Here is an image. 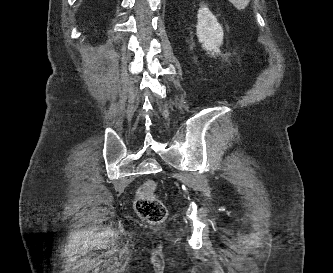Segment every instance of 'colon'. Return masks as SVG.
<instances>
[{"label": "colon", "mask_w": 333, "mask_h": 273, "mask_svg": "<svg viewBox=\"0 0 333 273\" xmlns=\"http://www.w3.org/2000/svg\"><path fill=\"white\" fill-rule=\"evenodd\" d=\"M155 184L146 181L138 190L135 199V211L149 223L158 224L167 217V209L164 203L153 194Z\"/></svg>", "instance_id": "1"}]
</instances>
